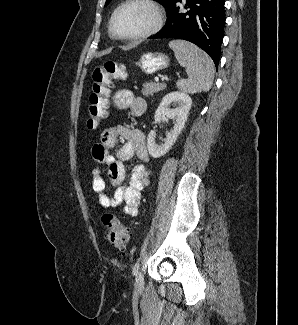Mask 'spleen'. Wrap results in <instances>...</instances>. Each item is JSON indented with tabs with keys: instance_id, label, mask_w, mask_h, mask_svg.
Masks as SVG:
<instances>
[{
	"instance_id": "obj_1",
	"label": "spleen",
	"mask_w": 298,
	"mask_h": 325,
	"mask_svg": "<svg viewBox=\"0 0 298 325\" xmlns=\"http://www.w3.org/2000/svg\"><path fill=\"white\" fill-rule=\"evenodd\" d=\"M179 64L185 66L188 78H179L177 88L181 92H208L214 80V62L199 46L188 40H170Z\"/></svg>"
}]
</instances>
